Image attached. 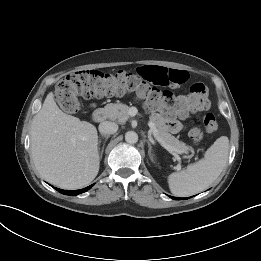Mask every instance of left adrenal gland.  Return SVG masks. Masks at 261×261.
Returning <instances> with one entry per match:
<instances>
[{"label":"left adrenal gland","mask_w":261,"mask_h":261,"mask_svg":"<svg viewBox=\"0 0 261 261\" xmlns=\"http://www.w3.org/2000/svg\"><path fill=\"white\" fill-rule=\"evenodd\" d=\"M147 144H148V155H149V158L152 162H154V154L152 153V145L149 141H147Z\"/></svg>","instance_id":"1"}]
</instances>
